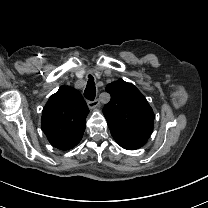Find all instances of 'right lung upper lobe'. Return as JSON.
<instances>
[{
  "mask_svg": "<svg viewBox=\"0 0 208 208\" xmlns=\"http://www.w3.org/2000/svg\"><path fill=\"white\" fill-rule=\"evenodd\" d=\"M88 106L81 93L61 86L42 111V130L52 146L58 147L83 135Z\"/></svg>",
  "mask_w": 208,
  "mask_h": 208,
  "instance_id": "1",
  "label": "right lung upper lobe"
}]
</instances>
